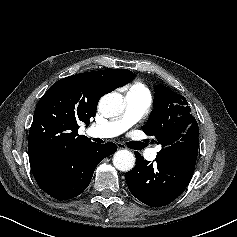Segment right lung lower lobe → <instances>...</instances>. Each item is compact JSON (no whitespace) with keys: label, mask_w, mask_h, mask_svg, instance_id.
<instances>
[{"label":"right lung lower lobe","mask_w":237,"mask_h":237,"mask_svg":"<svg viewBox=\"0 0 237 237\" xmlns=\"http://www.w3.org/2000/svg\"><path fill=\"white\" fill-rule=\"evenodd\" d=\"M116 150L114 143L96 144L89 140L31 165V169L43 191L58 200L71 199L87 188L96 166Z\"/></svg>","instance_id":"obj_1"}]
</instances>
